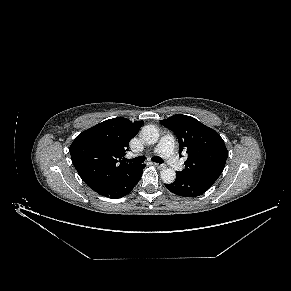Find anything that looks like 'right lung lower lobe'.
<instances>
[{"label": "right lung lower lobe", "instance_id": "obj_1", "mask_svg": "<svg viewBox=\"0 0 291 291\" xmlns=\"http://www.w3.org/2000/svg\"><path fill=\"white\" fill-rule=\"evenodd\" d=\"M145 164L137 165L131 172L117 177L111 181L91 187L98 194L109 198H121L126 196L140 180Z\"/></svg>", "mask_w": 291, "mask_h": 291}]
</instances>
